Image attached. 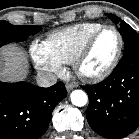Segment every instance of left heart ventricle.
I'll return each instance as SVG.
<instances>
[{"mask_svg":"<svg viewBox=\"0 0 139 139\" xmlns=\"http://www.w3.org/2000/svg\"><path fill=\"white\" fill-rule=\"evenodd\" d=\"M118 47V38L114 31L106 30L98 36L92 49L82 64V70L96 74L104 70L112 61Z\"/></svg>","mask_w":139,"mask_h":139,"instance_id":"1","label":"left heart ventricle"}]
</instances>
